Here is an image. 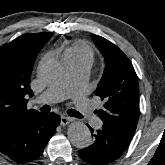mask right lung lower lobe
<instances>
[{
    "label": "right lung lower lobe",
    "instance_id": "right-lung-lower-lobe-1",
    "mask_svg": "<svg viewBox=\"0 0 165 165\" xmlns=\"http://www.w3.org/2000/svg\"><path fill=\"white\" fill-rule=\"evenodd\" d=\"M59 124L55 113L35 115L0 134V151L15 162L35 160L42 155Z\"/></svg>",
    "mask_w": 165,
    "mask_h": 165
}]
</instances>
